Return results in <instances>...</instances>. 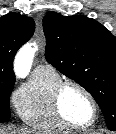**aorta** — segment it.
<instances>
[{
    "instance_id": "obj_1",
    "label": "aorta",
    "mask_w": 116,
    "mask_h": 134,
    "mask_svg": "<svg viewBox=\"0 0 116 134\" xmlns=\"http://www.w3.org/2000/svg\"><path fill=\"white\" fill-rule=\"evenodd\" d=\"M36 51L35 43H27L19 50L15 59V71L19 77H25L28 74Z\"/></svg>"
}]
</instances>
